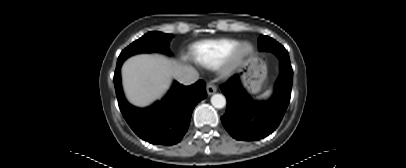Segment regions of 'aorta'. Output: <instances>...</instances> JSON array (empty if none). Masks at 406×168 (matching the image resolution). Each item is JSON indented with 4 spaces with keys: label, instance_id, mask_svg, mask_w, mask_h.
<instances>
[{
    "label": "aorta",
    "instance_id": "1",
    "mask_svg": "<svg viewBox=\"0 0 406 168\" xmlns=\"http://www.w3.org/2000/svg\"><path fill=\"white\" fill-rule=\"evenodd\" d=\"M211 104L217 109H222L226 105V98L222 94H214L211 97Z\"/></svg>",
    "mask_w": 406,
    "mask_h": 168
}]
</instances>
